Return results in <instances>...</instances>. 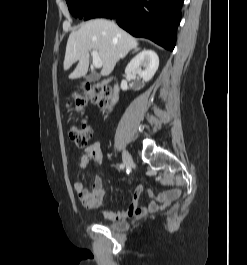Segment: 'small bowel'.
I'll return each mask as SVG.
<instances>
[{
    "label": "small bowel",
    "mask_w": 247,
    "mask_h": 265,
    "mask_svg": "<svg viewBox=\"0 0 247 265\" xmlns=\"http://www.w3.org/2000/svg\"><path fill=\"white\" fill-rule=\"evenodd\" d=\"M103 153L100 142L90 144L80 159V167L86 169L91 160L101 164L103 162ZM74 190L80 202L87 209H101L100 214L109 221L123 220L130 217H142L146 214L159 211L174 201L179 195L178 189L163 191L158 195L149 193L150 201L145 206H139V199L143 191V186L138 184L132 195V201L129 207L123 211H109L102 209L104 207L103 196L104 188L102 178L96 176L91 189H86L81 182L74 183Z\"/></svg>",
    "instance_id": "c3829d8e"
}]
</instances>
